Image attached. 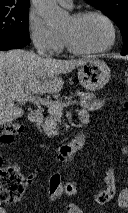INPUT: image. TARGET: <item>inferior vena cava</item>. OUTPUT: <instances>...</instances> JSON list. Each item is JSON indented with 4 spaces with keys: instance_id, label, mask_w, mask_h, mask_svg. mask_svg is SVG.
<instances>
[{
    "instance_id": "inferior-vena-cava-1",
    "label": "inferior vena cava",
    "mask_w": 128,
    "mask_h": 213,
    "mask_svg": "<svg viewBox=\"0 0 128 213\" xmlns=\"http://www.w3.org/2000/svg\"><path fill=\"white\" fill-rule=\"evenodd\" d=\"M37 51H38V54L42 57V58H45V59H50V57L46 54V51H45V46L42 45V44H38L37 45Z\"/></svg>"
}]
</instances>
